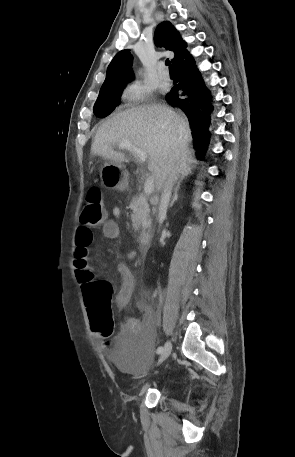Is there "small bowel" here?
Wrapping results in <instances>:
<instances>
[{
	"mask_svg": "<svg viewBox=\"0 0 295 457\" xmlns=\"http://www.w3.org/2000/svg\"><path fill=\"white\" fill-rule=\"evenodd\" d=\"M112 214L115 219L121 215L119 207L115 206L112 208ZM115 219H108L102 226L103 236L107 239H117L120 235V227ZM93 241V233L91 229L80 226L76 233L75 245L76 255L80 253L87 254V250ZM133 256L134 254L131 253ZM117 272L121 278V285L116 292L115 302L117 306L124 309L130 302L134 288L135 278L126 264H120L117 268ZM79 279V277L77 276ZM80 280V279H79ZM138 308L142 311V318L137 319L130 317L126 319L122 326V337L128 335H135L140 333H147L149 336L152 333L153 326L155 324V313L146 299H141L138 302Z\"/></svg>",
	"mask_w": 295,
	"mask_h": 457,
	"instance_id": "small-bowel-1",
	"label": "small bowel"
}]
</instances>
